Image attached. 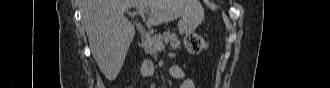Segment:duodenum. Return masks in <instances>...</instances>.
<instances>
[{"mask_svg":"<svg viewBox=\"0 0 330 88\" xmlns=\"http://www.w3.org/2000/svg\"><path fill=\"white\" fill-rule=\"evenodd\" d=\"M140 68L142 73L146 76H153L158 73L157 68L152 62H148V61L143 62Z\"/></svg>","mask_w":330,"mask_h":88,"instance_id":"duodenum-1","label":"duodenum"}]
</instances>
